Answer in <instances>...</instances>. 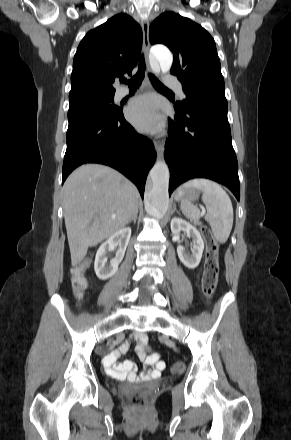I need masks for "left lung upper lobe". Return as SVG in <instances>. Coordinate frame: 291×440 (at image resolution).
<instances>
[{"mask_svg":"<svg viewBox=\"0 0 291 440\" xmlns=\"http://www.w3.org/2000/svg\"><path fill=\"white\" fill-rule=\"evenodd\" d=\"M151 44H165L174 54L171 74L183 86L186 99L175 109L190 104L227 107L220 60L211 35L199 24L174 12L161 14L149 29Z\"/></svg>","mask_w":291,"mask_h":440,"instance_id":"1","label":"left lung upper lobe"}]
</instances>
